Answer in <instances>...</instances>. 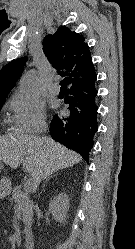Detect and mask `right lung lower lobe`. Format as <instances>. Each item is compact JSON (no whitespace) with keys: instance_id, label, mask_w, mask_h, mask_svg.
Masks as SVG:
<instances>
[{"instance_id":"98d812e1","label":"right lung lower lobe","mask_w":135,"mask_h":249,"mask_svg":"<svg viewBox=\"0 0 135 249\" xmlns=\"http://www.w3.org/2000/svg\"><path fill=\"white\" fill-rule=\"evenodd\" d=\"M96 73L80 82L73 83L67 91L65 103L70 116L51 121L50 135L61 144L79 153L88 162L89 152L98 130Z\"/></svg>"}]
</instances>
